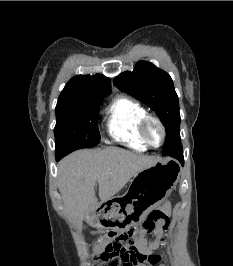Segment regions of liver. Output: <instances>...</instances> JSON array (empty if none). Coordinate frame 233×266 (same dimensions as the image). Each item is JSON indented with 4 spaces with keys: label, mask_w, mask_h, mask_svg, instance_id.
<instances>
[{
    "label": "liver",
    "mask_w": 233,
    "mask_h": 266,
    "mask_svg": "<svg viewBox=\"0 0 233 266\" xmlns=\"http://www.w3.org/2000/svg\"><path fill=\"white\" fill-rule=\"evenodd\" d=\"M159 161L158 157L118 147L71 153L58 164V186L68 218L77 228L82 227L83 220L96 226L91 216L96 183L100 200L106 202L136 173Z\"/></svg>",
    "instance_id": "1"
}]
</instances>
